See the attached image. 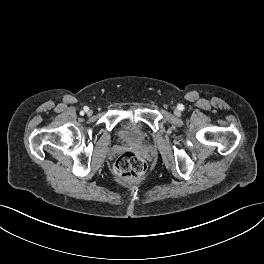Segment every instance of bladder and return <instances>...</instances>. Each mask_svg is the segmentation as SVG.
<instances>
[{
	"mask_svg": "<svg viewBox=\"0 0 264 264\" xmlns=\"http://www.w3.org/2000/svg\"><path fill=\"white\" fill-rule=\"evenodd\" d=\"M118 139L126 144L141 146L150 139V131L146 126L131 118H122L116 126Z\"/></svg>",
	"mask_w": 264,
	"mask_h": 264,
	"instance_id": "bladder-1",
	"label": "bladder"
}]
</instances>
